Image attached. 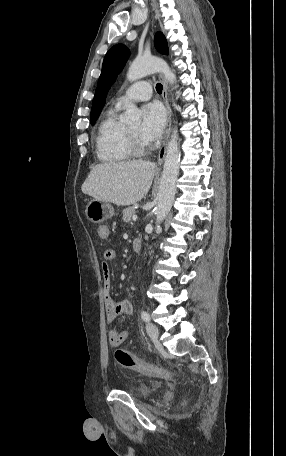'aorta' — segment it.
I'll return each instance as SVG.
<instances>
[{
	"instance_id": "aorta-1",
	"label": "aorta",
	"mask_w": 286,
	"mask_h": 456,
	"mask_svg": "<svg viewBox=\"0 0 286 456\" xmlns=\"http://www.w3.org/2000/svg\"><path fill=\"white\" fill-rule=\"evenodd\" d=\"M161 72L165 79L173 85L176 80L175 74L171 71L169 65L157 57L136 58L130 65L127 72V79L130 81L139 80L149 74ZM141 111L135 104L126 105V112L122 118L125 124H139L141 122ZM180 150L178 147V131L173 129L171 139L168 143L166 157L163 165V171L160 180V186L157 195V206L155 208L156 224L160 223L168 215L176 194V182L179 174Z\"/></svg>"
}]
</instances>
